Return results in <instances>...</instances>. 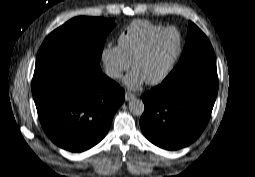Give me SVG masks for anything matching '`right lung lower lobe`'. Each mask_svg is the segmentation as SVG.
Segmentation results:
<instances>
[{
    "mask_svg": "<svg viewBox=\"0 0 255 177\" xmlns=\"http://www.w3.org/2000/svg\"><path fill=\"white\" fill-rule=\"evenodd\" d=\"M32 93L45 133L72 152L85 151L104 138L125 97L100 67L70 61L35 66Z\"/></svg>",
    "mask_w": 255,
    "mask_h": 177,
    "instance_id": "98d812e1",
    "label": "right lung lower lobe"
}]
</instances>
